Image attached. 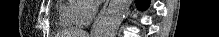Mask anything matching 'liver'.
Wrapping results in <instances>:
<instances>
[{
  "mask_svg": "<svg viewBox=\"0 0 219 37\" xmlns=\"http://www.w3.org/2000/svg\"><path fill=\"white\" fill-rule=\"evenodd\" d=\"M76 35H83V36H79V37H87V36H85L86 35L85 33H77Z\"/></svg>",
  "mask_w": 219,
  "mask_h": 37,
  "instance_id": "liver-1",
  "label": "liver"
}]
</instances>
